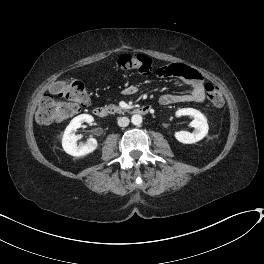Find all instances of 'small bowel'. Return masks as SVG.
<instances>
[{
  "mask_svg": "<svg viewBox=\"0 0 264 264\" xmlns=\"http://www.w3.org/2000/svg\"><path fill=\"white\" fill-rule=\"evenodd\" d=\"M166 71L165 76L179 77L181 82L190 88V92L188 94L164 93L159 98L161 105L204 101L205 89L203 78L197 70L183 64H171L166 67ZM135 91V87L130 86L124 90V94L131 95Z\"/></svg>",
  "mask_w": 264,
  "mask_h": 264,
  "instance_id": "c3829d8e",
  "label": "small bowel"
}]
</instances>
